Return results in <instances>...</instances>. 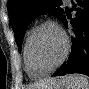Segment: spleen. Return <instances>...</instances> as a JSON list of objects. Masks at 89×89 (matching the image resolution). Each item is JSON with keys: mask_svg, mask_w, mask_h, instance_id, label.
Masks as SVG:
<instances>
[{"mask_svg": "<svg viewBox=\"0 0 89 89\" xmlns=\"http://www.w3.org/2000/svg\"><path fill=\"white\" fill-rule=\"evenodd\" d=\"M65 81L72 89H88L89 81L86 77L80 74H72L65 77Z\"/></svg>", "mask_w": 89, "mask_h": 89, "instance_id": "spleen-1", "label": "spleen"}]
</instances>
